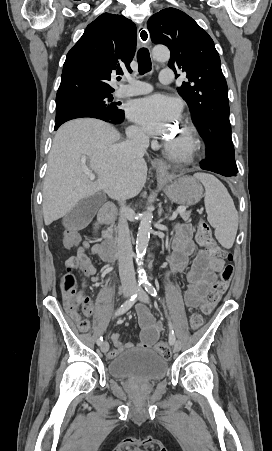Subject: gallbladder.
<instances>
[{"label": "gallbladder", "instance_id": "obj_1", "mask_svg": "<svg viewBox=\"0 0 272 451\" xmlns=\"http://www.w3.org/2000/svg\"><path fill=\"white\" fill-rule=\"evenodd\" d=\"M96 196H99V194H96ZM102 204L103 202L95 200V196L84 198V200H81V202H78V204L74 206L73 210H70V212L64 216V226L70 227V229H83V227L88 226V224L92 222Z\"/></svg>", "mask_w": 272, "mask_h": 451}]
</instances>
